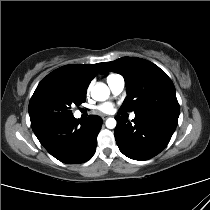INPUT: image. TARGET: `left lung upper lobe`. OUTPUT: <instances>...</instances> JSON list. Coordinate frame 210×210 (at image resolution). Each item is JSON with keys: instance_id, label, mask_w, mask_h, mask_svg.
<instances>
[{"instance_id": "obj_1", "label": "left lung upper lobe", "mask_w": 210, "mask_h": 210, "mask_svg": "<svg viewBox=\"0 0 210 210\" xmlns=\"http://www.w3.org/2000/svg\"><path fill=\"white\" fill-rule=\"evenodd\" d=\"M103 65L101 73L117 72L126 80L127 97L120 112L179 116L180 107L173 82L157 65L138 57H122Z\"/></svg>"}]
</instances>
